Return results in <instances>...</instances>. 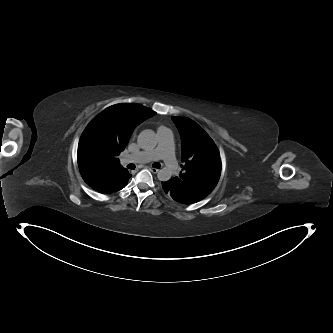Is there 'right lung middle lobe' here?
I'll list each match as a JSON object with an SVG mask.
<instances>
[{
    "label": "right lung middle lobe",
    "instance_id": "obj_1",
    "mask_svg": "<svg viewBox=\"0 0 333 333\" xmlns=\"http://www.w3.org/2000/svg\"><path fill=\"white\" fill-rule=\"evenodd\" d=\"M115 130L109 126L105 117L97 115L84 130L78 146V165L80 173L94 170L96 164L116 152Z\"/></svg>",
    "mask_w": 333,
    "mask_h": 333
}]
</instances>
